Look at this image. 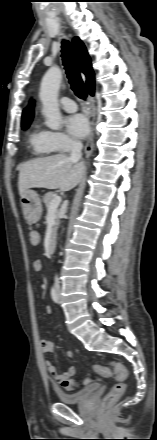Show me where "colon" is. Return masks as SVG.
<instances>
[{"label":"colon","mask_w":157,"mask_h":440,"mask_svg":"<svg viewBox=\"0 0 157 440\" xmlns=\"http://www.w3.org/2000/svg\"><path fill=\"white\" fill-rule=\"evenodd\" d=\"M40 235L36 230H31L29 233V242L32 246L36 247L40 244ZM35 267H41L42 263L40 260L34 262ZM111 368L104 364H96L94 366V372L102 378L109 377L112 373L114 374L117 382L110 389V391L105 395L102 399V407L107 408L113 405L125 392L128 378V372L125 367L117 362H111ZM91 377H86L82 382H79L75 379L69 378L63 382V387L67 390H75L80 385L86 384L91 381Z\"/></svg>","instance_id":"5ec220e1"}]
</instances>
